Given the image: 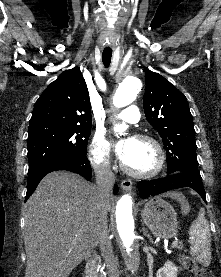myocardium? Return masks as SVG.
<instances>
[{
    "mask_svg": "<svg viewBox=\"0 0 221 277\" xmlns=\"http://www.w3.org/2000/svg\"><path fill=\"white\" fill-rule=\"evenodd\" d=\"M135 139L138 141L147 142L154 147L156 154H157L156 166L154 167V169H152L151 171H148V172H136V171H133L130 168H128L122 160L120 163V167H121L122 171L124 173H126L127 175L137 178V179H150V178L157 176L162 171L164 164H165V153H164V150H163L161 144L155 138H153L149 135H144V134L136 135Z\"/></svg>",
    "mask_w": 221,
    "mask_h": 277,
    "instance_id": "f54148a6",
    "label": "myocardium"
}]
</instances>
